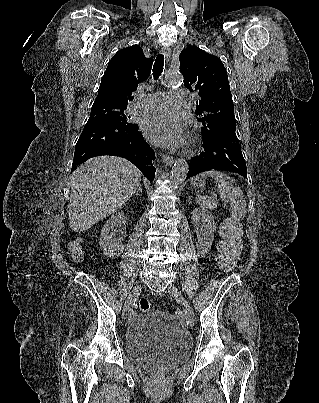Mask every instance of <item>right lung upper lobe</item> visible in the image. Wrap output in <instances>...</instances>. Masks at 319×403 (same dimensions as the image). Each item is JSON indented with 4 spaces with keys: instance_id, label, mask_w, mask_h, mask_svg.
<instances>
[{
    "instance_id": "cb5924a9",
    "label": "right lung upper lobe",
    "mask_w": 319,
    "mask_h": 403,
    "mask_svg": "<svg viewBox=\"0 0 319 403\" xmlns=\"http://www.w3.org/2000/svg\"><path fill=\"white\" fill-rule=\"evenodd\" d=\"M152 62L139 45L119 50L108 63L94 103L127 106L138 84L149 77Z\"/></svg>"
}]
</instances>
